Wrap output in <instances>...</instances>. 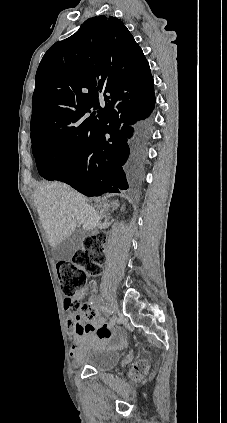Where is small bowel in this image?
<instances>
[{
    "label": "small bowel",
    "mask_w": 227,
    "mask_h": 423,
    "mask_svg": "<svg viewBox=\"0 0 227 423\" xmlns=\"http://www.w3.org/2000/svg\"><path fill=\"white\" fill-rule=\"evenodd\" d=\"M92 317L86 319L81 315L70 316L68 326L71 329L72 345L70 355L80 357L85 352L100 347H122L124 345V332L121 328H112L98 317L94 311Z\"/></svg>",
    "instance_id": "small-bowel-1"
}]
</instances>
